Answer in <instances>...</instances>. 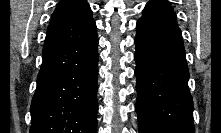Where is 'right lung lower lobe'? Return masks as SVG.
I'll use <instances>...</instances> for the list:
<instances>
[{
  "label": "right lung lower lobe",
  "instance_id": "98d812e1",
  "mask_svg": "<svg viewBox=\"0 0 221 133\" xmlns=\"http://www.w3.org/2000/svg\"><path fill=\"white\" fill-rule=\"evenodd\" d=\"M98 38L43 48L30 133H97Z\"/></svg>",
  "mask_w": 221,
  "mask_h": 133
}]
</instances>
